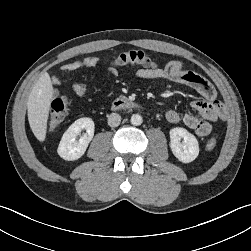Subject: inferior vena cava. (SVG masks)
Segmentation results:
<instances>
[{
    "mask_svg": "<svg viewBox=\"0 0 251 251\" xmlns=\"http://www.w3.org/2000/svg\"><path fill=\"white\" fill-rule=\"evenodd\" d=\"M121 122V116L117 113H112L108 116V125L110 127H117Z\"/></svg>",
    "mask_w": 251,
    "mask_h": 251,
    "instance_id": "1",
    "label": "inferior vena cava"
}]
</instances>
